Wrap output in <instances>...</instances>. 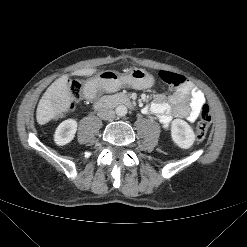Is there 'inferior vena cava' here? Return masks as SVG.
Returning <instances> with one entry per match:
<instances>
[{"instance_id":"inferior-vena-cava-1","label":"inferior vena cava","mask_w":247,"mask_h":247,"mask_svg":"<svg viewBox=\"0 0 247 247\" xmlns=\"http://www.w3.org/2000/svg\"><path fill=\"white\" fill-rule=\"evenodd\" d=\"M97 114L102 120L111 121L115 118V111L109 108H102Z\"/></svg>"}]
</instances>
